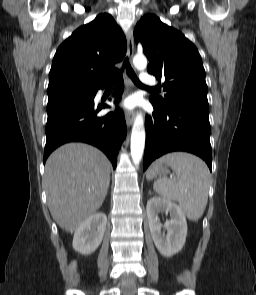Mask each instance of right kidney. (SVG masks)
<instances>
[{
	"label": "right kidney",
	"mask_w": 256,
	"mask_h": 295,
	"mask_svg": "<svg viewBox=\"0 0 256 295\" xmlns=\"http://www.w3.org/2000/svg\"><path fill=\"white\" fill-rule=\"evenodd\" d=\"M107 224V216L98 212L86 219L75 231L73 248L84 255L93 253L101 244Z\"/></svg>",
	"instance_id": "ca27d5eb"
}]
</instances>
